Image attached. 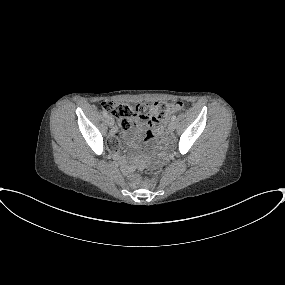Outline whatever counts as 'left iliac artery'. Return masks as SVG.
Listing matches in <instances>:
<instances>
[{"label": "left iliac artery", "mask_w": 285, "mask_h": 285, "mask_svg": "<svg viewBox=\"0 0 285 285\" xmlns=\"http://www.w3.org/2000/svg\"><path fill=\"white\" fill-rule=\"evenodd\" d=\"M171 120H172V121H175V120H176V116H175V115L172 116Z\"/></svg>", "instance_id": "1"}]
</instances>
